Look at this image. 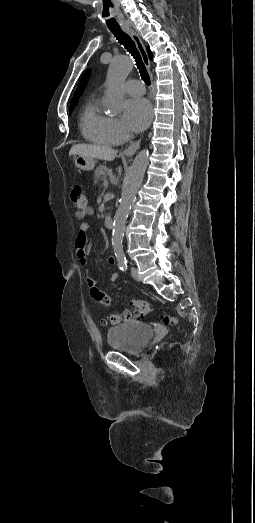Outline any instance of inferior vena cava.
I'll return each mask as SVG.
<instances>
[{"label": "inferior vena cava", "instance_id": "obj_1", "mask_svg": "<svg viewBox=\"0 0 255 523\" xmlns=\"http://www.w3.org/2000/svg\"><path fill=\"white\" fill-rule=\"evenodd\" d=\"M129 138H133V136H129Z\"/></svg>", "mask_w": 255, "mask_h": 523}]
</instances>
